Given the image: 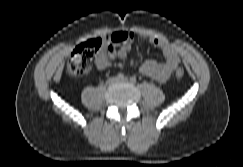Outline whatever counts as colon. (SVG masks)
Masks as SVG:
<instances>
[{"label": "colon", "mask_w": 243, "mask_h": 167, "mask_svg": "<svg viewBox=\"0 0 243 167\" xmlns=\"http://www.w3.org/2000/svg\"><path fill=\"white\" fill-rule=\"evenodd\" d=\"M104 44V39L96 37L79 44L72 52L66 66V71L70 76L79 77L86 75L92 66L94 56L100 51ZM184 70H176V77L182 78Z\"/></svg>", "instance_id": "obj_1"}]
</instances>
